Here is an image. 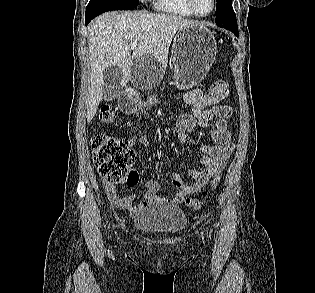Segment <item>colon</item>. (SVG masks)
<instances>
[{
	"label": "colon",
	"instance_id": "obj_1",
	"mask_svg": "<svg viewBox=\"0 0 315 293\" xmlns=\"http://www.w3.org/2000/svg\"><path fill=\"white\" fill-rule=\"evenodd\" d=\"M213 85L209 91L231 93V83L222 78H213ZM99 119L105 123H112L115 120V113L109 105H103L99 110ZM91 148L93 152V160L102 177L104 183L111 185L127 184L134 186L137 182V173L131 169L135 161V153L130 148L127 139L108 135L98 134L91 140ZM221 180L219 174L215 175L201 197L188 198L186 205L198 210L203 205V199L206 198L210 191L217 188Z\"/></svg>",
	"mask_w": 315,
	"mask_h": 293
}]
</instances>
